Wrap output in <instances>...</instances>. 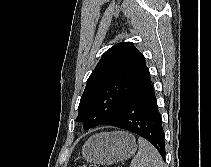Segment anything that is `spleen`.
<instances>
[{"mask_svg":"<svg viewBox=\"0 0 211 167\" xmlns=\"http://www.w3.org/2000/svg\"><path fill=\"white\" fill-rule=\"evenodd\" d=\"M139 151L130 167H164L163 160L155 147L143 138L138 139Z\"/></svg>","mask_w":211,"mask_h":167,"instance_id":"obj_1","label":"spleen"}]
</instances>
